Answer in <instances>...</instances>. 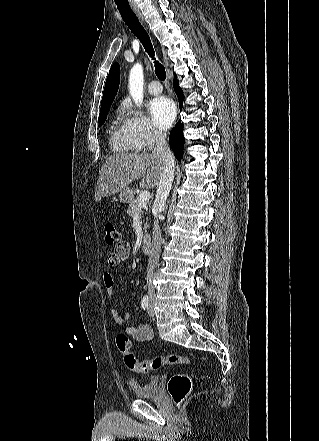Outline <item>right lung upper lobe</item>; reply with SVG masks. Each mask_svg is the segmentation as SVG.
<instances>
[{
    "label": "right lung upper lobe",
    "instance_id": "obj_1",
    "mask_svg": "<svg viewBox=\"0 0 319 441\" xmlns=\"http://www.w3.org/2000/svg\"><path fill=\"white\" fill-rule=\"evenodd\" d=\"M119 81H120V66L118 63H114L110 69V72L108 74L105 83L101 109L111 106L118 91Z\"/></svg>",
    "mask_w": 319,
    "mask_h": 441
}]
</instances>
